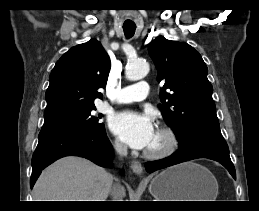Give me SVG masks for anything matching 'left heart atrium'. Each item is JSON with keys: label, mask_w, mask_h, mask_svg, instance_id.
Returning <instances> with one entry per match:
<instances>
[{"label": "left heart atrium", "mask_w": 259, "mask_h": 211, "mask_svg": "<svg viewBox=\"0 0 259 211\" xmlns=\"http://www.w3.org/2000/svg\"><path fill=\"white\" fill-rule=\"evenodd\" d=\"M109 126L115 135L135 149L148 148L156 132L148 115L131 111L113 115L109 120Z\"/></svg>", "instance_id": "39dd6f15"}]
</instances>
